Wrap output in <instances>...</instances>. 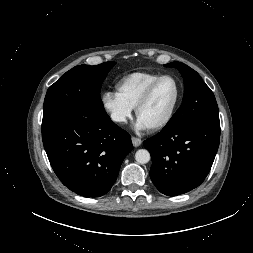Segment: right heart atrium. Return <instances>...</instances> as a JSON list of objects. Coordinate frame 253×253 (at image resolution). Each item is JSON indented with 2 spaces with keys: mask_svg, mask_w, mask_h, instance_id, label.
Instances as JSON below:
<instances>
[{
  "mask_svg": "<svg viewBox=\"0 0 253 253\" xmlns=\"http://www.w3.org/2000/svg\"><path fill=\"white\" fill-rule=\"evenodd\" d=\"M102 105L117 124H124L131 116L132 109L114 92L108 91L103 94Z\"/></svg>",
  "mask_w": 253,
  "mask_h": 253,
  "instance_id": "right-heart-atrium-1",
  "label": "right heart atrium"
}]
</instances>
